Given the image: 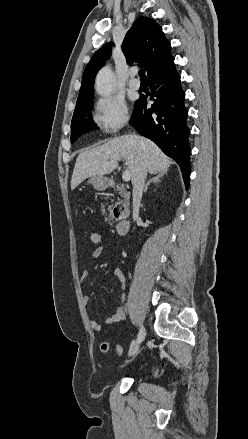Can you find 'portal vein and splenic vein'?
<instances>
[{"label": "portal vein and splenic vein", "mask_w": 248, "mask_h": 439, "mask_svg": "<svg viewBox=\"0 0 248 439\" xmlns=\"http://www.w3.org/2000/svg\"><path fill=\"white\" fill-rule=\"evenodd\" d=\"M130 178H131L130 170L126 169L122 174V179L123 181L128 182Z\"/></svg>", "instance_id": "portal-vein-and-splenic-vein-1"}]
</instances>
